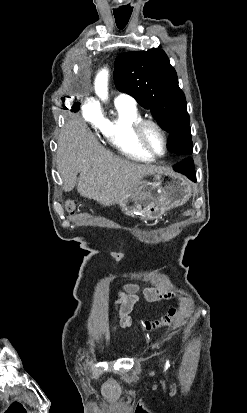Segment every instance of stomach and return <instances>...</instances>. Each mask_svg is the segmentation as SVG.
I'll return each mask as SVG.
<instances>
[{"mask_svg":"<svg viewBox=\"0 0 247 413\" xmlns=\"http://www.w3.org/2000/svg\"><path fill=\"white\" fill-rule=\"evenodd\" d=\"M191 194L192 184L186 176L167 168H158L150 172L148 180H140L131 192L124 194L118 204L129 217L152 221L169 209L182 207Z\"/></svg>","mask_w":247,"mask_h":413,"instance_id":"0dacf381","label":"stomach"}]
</instances>
